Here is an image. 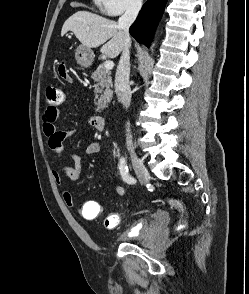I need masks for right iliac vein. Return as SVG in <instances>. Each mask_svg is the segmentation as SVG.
Instances as JSON below:
<instances>
[{
	"instance_id": "right-iliac-vein-1",
	"label": "right iliac vein",
	"mask_w": 249,
	"mask_h": 294,
	"mask_svg": "<svg viewBox=\"0 0 249 294\" xmlns=\"http://www.w3.org/2000/svg\"><path fill=\"white\" fill-rule=\"evenodd\" d=\"M132 165L134 168V171L138 178L143 182V183H148L150 181V174L143 164V162L140 160V158L133 152L131 151L130 153Z\"/></svg>"
}]
</instances>
